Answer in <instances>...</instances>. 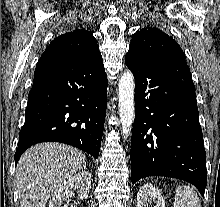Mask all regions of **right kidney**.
Returning <instances> with one entry per match:
<instances>
[{
	"mask_svg": "<svg viewBox=\"0 0 220 207\" xmlns=\"http://www.w3.org/2000/svg\"><path fill=\"white\" fill-rule=\"evenodd\" d=\"M91 186V173L81 171L70 177L67 181L56 188L50 197L49 207H67L69 204V196L72 191L77 190L79 200L88 197Z\"/></svg>",
	"mask_w": 220,
	"mask_h": 207,
	"instance_id": "ca27d5eb",
	"label": "right kidney"
}]
</instances>
